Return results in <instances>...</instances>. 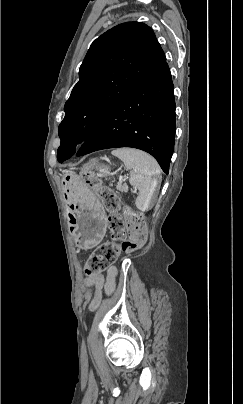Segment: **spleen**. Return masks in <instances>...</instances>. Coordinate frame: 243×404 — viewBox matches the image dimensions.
<instances>
[{"label": "spleen", "instance_id": "obj_1", "mask_svg": "<svg viewBox=\"0 0 243 404\" xmlns=\"http://www.w3.org/2000/svg\"><path fill=\"white\" fill-rule=\"evenodd\" d=\"M111 154L122 160L127 170H131L129 182L139 190V196L135 200L136 208L141 212L151 210L152 196L161 172L156 160L146 152L135 148H117Z\"/></svg>", "mask_w": 243, "mask_h": 404}]
</instances>
